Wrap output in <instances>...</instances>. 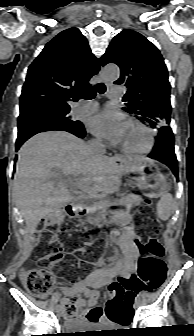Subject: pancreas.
I'll return each instance as SVG.
<instances>
[{"mask_svg":"<svg viewBox=\"0 0 194 336\" xmlns=\"http://www.w3.org/2000/svg\"><path fill=\"white\" fill-rule=\"evenodd\" d=\"M129 202H125V199L116 200L112 198L109 203H103L100 206H96L95 218L98 220L101 226H104L113 215L126 211L128 209Z\"/></svg>","mask_w":194,"mask_h":336,"instance_id":"cf45deb5","label":"pancreas"}]
</instances>
